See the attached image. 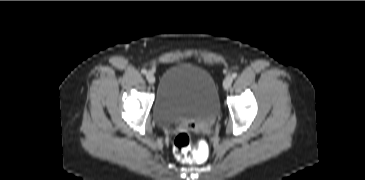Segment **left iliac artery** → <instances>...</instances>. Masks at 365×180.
Returning a JSON list of instances; mask_svg holds the SVG:
<instances>
[{
	"mask_svg": "<svg viewBox=\"0 0 365 180\" xmlns=\"http://www.w3.org/2000/svg\"><path fill=\"white\" fill-rule=\"evenodd\" d=\"M236 77H237V73H233L232 78H236Z\"/></svg>",
	"mask_w": 365,
	"mask_h": 180,
	"instance_id": "1",
	"label": "left iliac artery"
}]
</instances>
